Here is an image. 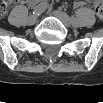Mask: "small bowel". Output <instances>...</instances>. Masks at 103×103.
Listing matches in <instances>:
<instances>
[{
	"label": "small bowel",
	"instance_id": "1",
	"mask_svg": "<svg viewBox=\"0 0 103 103\" xmlns=\"http://www.w3.org/2000/svg\"><path fill=\"white\" fill-rule=\"evenodd\" d=\"M11 4H12V2L7 6L6 11L9 9V7H10ZM36 4H37V1H36V0H32V1L29 2V5H31V6H34V5H36ZM84 5H85V2H84V1H76V2L74 3L75 8H81V7H83ZM6 11H5L2 15H4V14L6 13Z\"/></svg>",
	"mask_w": 103,
	"mask_h": 103
}]
</instances>
